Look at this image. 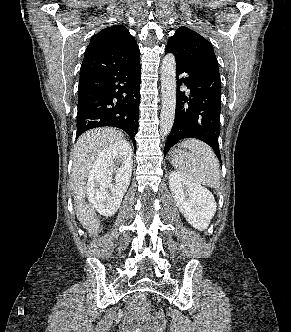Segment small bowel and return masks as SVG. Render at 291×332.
<instances>
[{"instance_id": "obj_1", "label": "small bowel", "mask_w": 291, "mask_h": 332, "mask_svg": "<svg viewBox=\"0 0 291 332\" xmlns=\"http://www.w3.org/2000/svg\"><path fill=\"white\" fill-rule=\"evenodd\" d=\"M132 315L137 322L144 323L146 325H153L156 322V318L139 312L137 305L132 307Z\"/></svg>"}]
</instances>
